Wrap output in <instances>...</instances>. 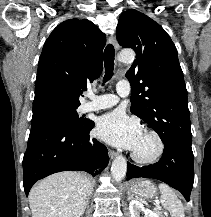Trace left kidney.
<instances>
[{"instance_id": "obj_1", "label": "left kidney", "mask_w": 211, "mask_h": 217, "mask_svg": "<svg viewBox=\"0 0 211 217\" xmlns=\"http://www.w3.org/2000/svg\"><path fill=\"white\" fill-rule=\"evenodd\" d=\"M129 210L131 217H140L141 212L145 214L144 217H159L158 214L152 212L149 209H146L141 202L135 199L130 201Z\"/></svg>"}]
</instances>
